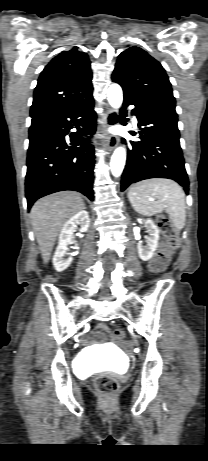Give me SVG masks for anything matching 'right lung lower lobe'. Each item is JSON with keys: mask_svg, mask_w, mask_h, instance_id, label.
<instances>
[{"mask_svg": "<svg viewBox=\"0 0 208 461\" xmlns=\"http://www.w3.org/2000/svg\"><path fill=\"white\" fill-rule=\"evenodd\" d=\"M94 100L33 122L29 128L25 192L28 209L48 194L74 190L93 200L94 148L88 139L96 130ZM70 143L65 136L69 130Z\"/></svg>", "mask_w": 208, "mask_h": 461, "instance_id": "obj_1", "label": "right lung lower lobe"}]
</instances>
